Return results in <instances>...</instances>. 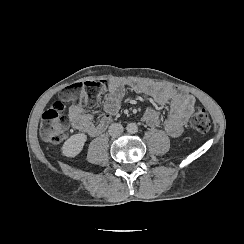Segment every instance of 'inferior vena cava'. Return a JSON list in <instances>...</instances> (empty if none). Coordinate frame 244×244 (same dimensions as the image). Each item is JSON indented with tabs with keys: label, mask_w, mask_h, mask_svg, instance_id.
<instances>
[{
	"label": "inferior vena cava",
	"mask_w": 244,
	"mask_h": 244,
	"mask_svg": "<svg viewBox=\"0 0 244 244\" xmlns=\"http://www.w3.org/2000/svg\"><path fill=\"white\" fill-rule=\"evenodd\" d=\"M123 126L119 123H113L109 126V134L112 136V137H118L120 136L122 133H123Z\"/></svg>",
	"instance_id": "obj_1"
}]
</instances>
